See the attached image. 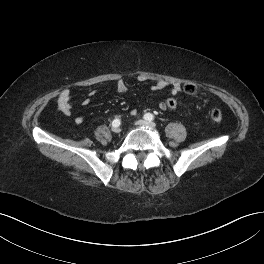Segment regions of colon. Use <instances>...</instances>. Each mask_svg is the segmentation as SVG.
Returning a JSON list of instances; mask_svg holds the SVG:
<instances>
[{"label":"colon","mask_w":264,"mask_h":264,"mask_svg":"<svg viewBox=\"0 0 264 264\" xmlns=\"http://www.w3.org/2000/svg\"><path fill=\"white\" fill-rule=\"evenodd\" d=\"M197 90H198V87L194 83H185L183 85V91L186 94L193 95L197 92ZM163 104L165 105L166 109L173 110V111L178 109V103L174 98H167L163 102ZM210 118L212 121H214L216 123L221 122L222 114H221L220 110L219 109H213L210 112Z\"/></svg>","instance_id":"colon-1"}]
</instances>
